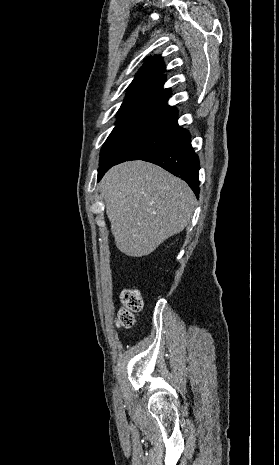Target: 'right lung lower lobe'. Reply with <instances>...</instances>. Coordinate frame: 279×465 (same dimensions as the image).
Segmentation results:
<instances>
[{
  "label": "right lung lower lobe",
  "mask_w": 279,
  "mask_h": 465,
  "mask_svg": "<svg viewBox=\"0 0 279 465\" xmlns=\"http://www.w3.org/2000/svg\"><path fill=\"white\" fill-rule=\"evenodd\" d=\"M161 166L188 183L196 196H199V159L191 146V136L186 129L181 128L177 140L143 159ZM105 166L98 169V181L111 168Z\"/></svg>",
  "instance_id": "1"
}]
</instances>
